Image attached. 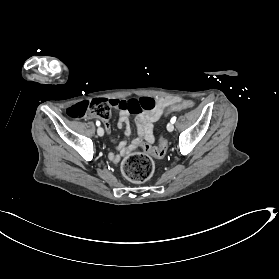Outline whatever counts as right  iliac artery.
Here are the masks:
<instances>
[{
	"label": "right iliac artery",
	"instance_id": "1",
	"mask_svg": "<svg viewBox=\"0 0 279 279\" xmlns=\"http://www.w3.org/2000/svg\"><path fill=\"white\" fill-rule=\"evenodd\" d=\"M96 125H97V126H100V122H99V121H97V122H96Z\"/></svg>",
	"mask_w": 279,
	"mask_h": 279
}]
</instances>
